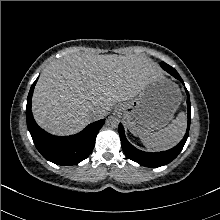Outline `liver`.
Segmentation results:
<instances>
[{
    "label": "liver",
    "instance_id": "liver-1",
    "mask_svg": "<svg viewBox=\"0 0 220 220\" xmlns=\"http://www.w3.org/2000/svg\"><path fill=\"white\" fill-rule=\"evenodd\" d=\"M161 74L143 56L72 54L43 70L33 93V116L52 134H74L103 118L115 103L133 99ZM92 109L98 113L92 115Z\"/></svg>",
    "mask_w": 220,
    "mask_h": 220
}]
</instances>
